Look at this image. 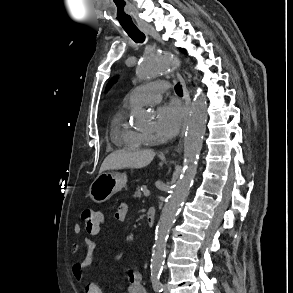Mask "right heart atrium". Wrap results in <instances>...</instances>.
<instances>
[{
    "label": "right heart atrium",
    "instance_id": "right-heart-atrium-1",
    "mask_svg": "<svg viewBox=\"0 0 293 293\" xmlns=\"http://www.w3.org/2000/svg\"><path fill=\"white\" fill-rule=\"evenodd\" d=\"M148 140H153V138L151 136H147Z\"/></svg>",
    "mask_w": 293,
    "mask_h": 293
}]
</instances>
